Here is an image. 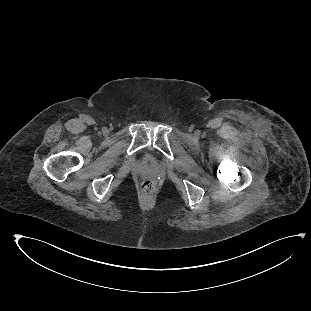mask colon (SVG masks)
<instances>
[{"label":"colon","mask_w":311,"mask_h":311,"mask_svg":"<svg viewBox=\"0 0 311 311\" xmlns=\"http://www.w3.org/2000/svg\"><path fill=\"white\" fill-rule=\"evenodd\" d=\"M142 189L144 192L151 194L153 192H155L157 185L155 183V181L148 179L146 181H144V183L142 184Z\"/></svg>","instance_id":"1"}]
</instances>
